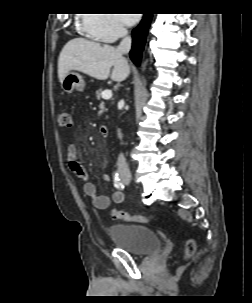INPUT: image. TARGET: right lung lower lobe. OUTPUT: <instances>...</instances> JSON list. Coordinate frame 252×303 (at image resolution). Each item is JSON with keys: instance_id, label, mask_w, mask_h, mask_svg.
Segmentation results:
<instances>
[{"instance_id": "right-lung-lower-lobe-1", "label": "right lung lower lobe", "mask_w": 252, "mask_h": 303, "mask_svg": "<svg viewBox=\"0 0 252 303\" xmlns=\"http://www.w3.org/2000/svg\"><path fill=\"white\" fill-rule=\"evenodd\" d=\"M151 18L152 14H144L141 23L132 31L133 43L132 49L130 51V58L136 65H140L142 51L144 48Z\"/></svg>"}]
</instances>
